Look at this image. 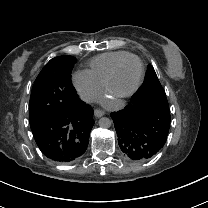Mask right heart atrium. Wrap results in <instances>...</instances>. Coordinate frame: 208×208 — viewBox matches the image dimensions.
Wrapping results in <instances>:
<instances>
[{
    "instance_id": "right-heart-atrium-1",
    "label": "right heart atrium",
    "mask_w": 208,
    "mask_h": 208,
    "mask_svg": "<svg viewBox=\"0 0 208 208\" xmlns=\"http://www.w3.org/2000/svg\"><path fill=\"white\" fill-rule=\"evenodd\" d=\"M72 80L81 97L87 102H100L103 98V90L87 72L78 71L72 75Z\"/></svg>"
}]
</instances>
